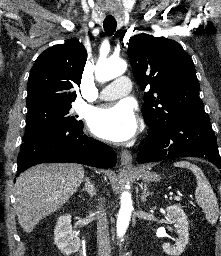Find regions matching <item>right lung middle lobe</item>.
<instances>
[{"mask_svg":"<svg viewBox=\"0 0 221 256\" xmlns=\"http://www.w3.org/2000/svg\"><path fill=\"white\" fill-rule=\"evenodd\" d=\"M71 107L70 104L62 106L47 104L28 110L22 142L52 128L82 125L81 120L69 114Z\"/></svg>","mask_w":221,"mask_h":256,"instance_id":"1","label":"right lung middle lobe"}]
</instances>
